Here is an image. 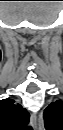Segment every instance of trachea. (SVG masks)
<instances>
[{
  "instance_id": "trachea-1",
  "label": "trachea",
  "mask_w": 63,
  "mask_h": 130,
  "mask_svg": "<svg viewBox=\"0 0 63 130\" xmlns=\"http://www.w3.org/2000/svg\"><path fill=\"white\" fill-rule=\"evenodd\" d=\"M26 130H32V127H31V126H28V127L26 128Z\"/></svg>"
}]
</instances>
